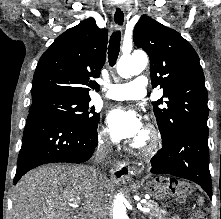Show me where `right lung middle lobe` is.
I'll return each instance as SVG.
<instances>
[{"label":"right lung middle lobe","instance_id":"obj_1","mask_svg":"<svg viewBox=\"0 0 221 219\" xmlns=\"http://www.w3.org/2000/svg\"><path fill=\"white\" fill-rule=\"evenodd\" d=\"M90 99L47 98L32 103L29 113H44L61 117L77 126L97 129L100 114L89 107Z\"/></svg>","mask_w":221,"mask_h":219}]
</instances>
